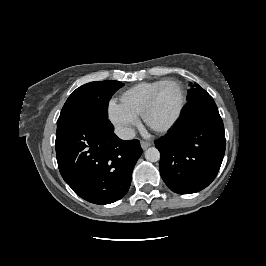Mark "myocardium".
<instances>
[{"label":"myocardium","mask_w":266,"mask_h":266,"mask_svg":"<svg viewBox=\"0 0 266 266\" xmlns=\"http://www.w3.org/2000/svg\"><path fill=\"white\" fill-rule=\"evenodd\" d=\"M169 83H175L178 85L179 89H180V103H179V106H178V109L176 111V113L174 114V116L172 117V119L167 123L165 124L164 126L162 127H152L149 123V120H148V117H149V113L150 111L152 110L154 104H155V101L157 99V96L160 92V90L166 85V84H169ZM186 90H185V87L184 85L182 84L181 81H179L178 79H174V78H170V79H166L164 80L154 91L153 93L151 94L147 104L145 105L144 109H143V112H142V119L144 121V123L154 132H157V133H165L167 132L168 130H170L175 124L176 122L179 120L183 110H184V107H185V104H186Z\"/></svg>","instance_id":"f54148a6"}]
</instances>
